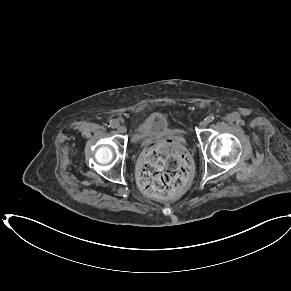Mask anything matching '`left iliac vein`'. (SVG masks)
<instances>
[{
	"instance_id": "left-iliac-vein-1",
	"label": "left iliac vein",
	"mask_w": 291,
	"mask_h": 291,
	"mask_svg": "<svg viewBox=\"0 0 291 291\" xmlns=\"http://www.w3.org/2000/svg\"><path fill=\"white\" fill-rule=\"evenodd\" d=\"M199 125L201 128H206L208 125V122H207V120H202Z\"/></svg>"
}]
</instances>
